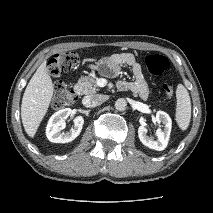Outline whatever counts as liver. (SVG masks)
Listing matches in <instances>:
<instances>
[{
  "label": "liver",
  "instance_id": "6515ba94",
  "mask_svg": "<svg viewBox=\"0 0 213 213\" xmlns=\"http://www.w3.org/2000/svg\"><path fill=\"white\" fill-rule=\"evenodd\" d=\"M53 83L44 61L30 79L21 104V119L29 137L34 138L53 96Z\"/></svg>",
  "mask_w": 213,
  "mask_h": 213
}]
</instances>
